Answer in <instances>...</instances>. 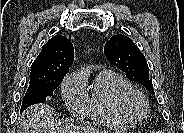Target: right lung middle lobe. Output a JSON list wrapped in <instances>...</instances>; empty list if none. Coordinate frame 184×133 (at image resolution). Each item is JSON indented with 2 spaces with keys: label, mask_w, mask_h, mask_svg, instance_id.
<instances>
[{
  "label": "right lung middle lobe",
  "mask_w": 184,
  "mask_h": 133,
  "mask_svg": "<svg viewBox=\"0 0 184 133\" xmlns=\"http://www.w3.org/2000/svg\"><path fill=\"white\" fill-rule=\"evenodd\" d=\"M62 80V77H56L47 83L30 84L24 96L20 112L31 105L45 102L46 97L53 95V91L61 84Z\"/></svg>",
  "instance_id": "obj_1"
}]
</instances>
